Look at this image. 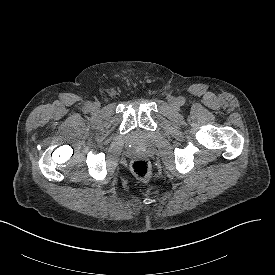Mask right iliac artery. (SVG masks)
<instances>
[{
    "label": "right iliac artery",
    "mask_w": 275,
    "mask_h": 275,
    "mask_svg": "<svg viewBox=\"0 0 275 275\" xmlns=\"http://www.w3.org/2000/svg\"><path fill=\"white\" fill-rule=\"evenodd\" d=\"M91 109V105L90 104H87L86 106H85V110L86 111H89Z\"/></svg>",
    "instance_id": "obj_1"
}]
</instances>
